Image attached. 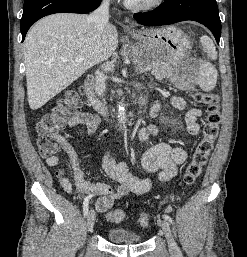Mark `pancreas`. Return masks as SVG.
Segmentation results:
<instances>
[{
  "mask_svg": "<svg viewBox=\"0 0 247 257\" xmlns=\"http://www.w3.org/2000/svg\"><path fill=\"white\" fill-rule=\"evenodd\" d=\"M137 63V62H136ZM138 64V70L144 69V65ZM152 66V74L154 75L155 79L162 80L166 76H170L172 73V67L168 63H154Z\"/></svg>",
  "mask_w": 247,
  "mask_h": 257,
  "instance_id": "pancreas-1",
  "label": "pancreas"
}]
</instances>
